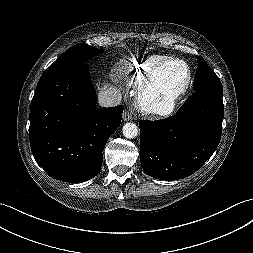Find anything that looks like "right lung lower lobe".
<instances>
[{
  "label": "right lung lower lobe",
  "mask_w": 253,
  "mask_h": 253,
  "mask_svg": "<svg viewBox=\"0 0 253 253\" xmlns=\"http://www.w3.org/2000/svg\"><path fill=\"white\" fill-rule=\"evenodd\" d=\"M123 105L96 108L85 62L41 76L30 109V145L53 178L78 183L95 177L105 144L120 126Z\"/></svg>",
  "instance_id": "obj_1"
}]
</instances>
